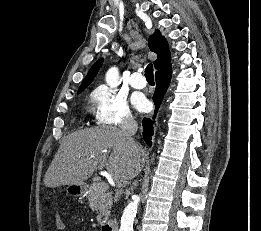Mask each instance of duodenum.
I'll use <instances>...</instances> for the list:
<instances>
[{
  "instance_id": "410a0bca",
  "label": "duodenum",
  "mask_w": 261,
  "mask_h": 231,
  "mask_svg": "<svg viewBox=\"0 0 261 231\" xmlns=\"http://www.w3.org/2000/svg\"><path fill=\"white\" fill-rule=\"evenodd\" d=\"M119 223L116 220H111L103 224L102 231H118Z\"/></svg>"
}]
</instances>
